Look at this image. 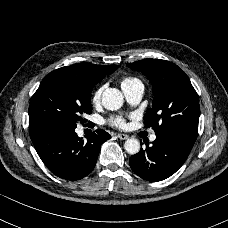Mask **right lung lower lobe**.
Wrapping results in <instances>:
<instances>
[{"instance_id": "98d812e1", "label": "right lung lower lobe", "mask_w": 228, "mask_h": 228, "mask_svg": "<svg viewBox=\"0 0 228 228\" xmlns=\"http://www.w3.org/2000/svg\"><path fill=\"white\" fill-rule=\"evenodd\" d=\"M73 126L49 124L30 130L34 147L46 165L56 176L66 180H79L95 167L103 142L111 136L104 130L82 140Z\"/></svg>"}]
</instances>
